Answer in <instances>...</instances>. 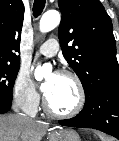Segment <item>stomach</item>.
I'll use <instances>...</instances> for the list:
<instances>
[{
    "label": "stomach",
    "mask_w": 119,
    "mask_h": 141,
    "mask_svg": "<svg viewBox=\"0 0 119 141\" xmlns=\"http://www.w3.org/2000/svg\"><path fill=\"white\" fill-rule=\"evenodd\" d=\"M50 141H81V139L73 129H63L53 131L50 134Z\"/></svg>",
    "instance_id": "1"
}]
</instances>
